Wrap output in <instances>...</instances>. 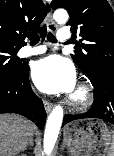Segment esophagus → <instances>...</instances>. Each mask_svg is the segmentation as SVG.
Segmentation results:
<instances>
[{"label":"esophagus","mask_w":114,"mask_h":156,"mask_svg":"<svg viewBox=\"0 0 114 156\" xmlns=\"http://www.w3.org/2000/svg\"><path fill=\"white\" fill-rule=\"evenodd\" d=\"M48 30L51 32H55L57 30V26L54 23L51 15L49 16ZM43 104H44V108H45L46 112L50 113V111L53 108V104L47 100H44Z\"/></svg>","instance_id":"34e87169"}]
</instances>
